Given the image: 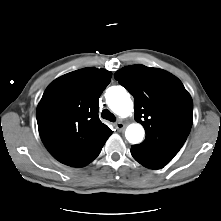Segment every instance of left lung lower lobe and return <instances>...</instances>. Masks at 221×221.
Instances as JSON below:
<instances>
[{
  "label": "left lung lower lobe",
  "mask_w": 221,
  "mask_h": 221,
  "mask_svg": "<svg viewBox=\"0 0 221 221\" xmlns=\"http://www.w3.org/2000/svg\"><path fill=\"white\" fill-rule=\"evenodd\" d=\"M131 154L136 161L150 169H161L172 160V158L164 156L143 144L133 145Z\"/></svg>",
  "instance_id": "1"
}]
</instances>
